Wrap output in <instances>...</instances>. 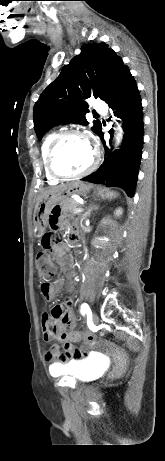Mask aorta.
<instances>
[{"instance_id":"aorta-1","label":"aorta","mask_w":165,"mask_h":461,"mask_svg":"<svg viewBox=\"0 0 165 461\" xmlns=\"http://www.w3.org/2000/svg\"><path fill=\"white\" fill-rule=\"evenodd\" d=\"M122 134H123L122 128L120 126H118V132L116 133V137H115L116 145L120 144V142L122 140Z\"/></svg>"}]
</instances>
